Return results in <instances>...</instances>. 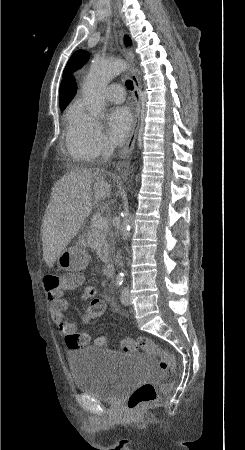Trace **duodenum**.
Segmentation results:
<instances>
[{"label": "duodenum", "instance_id": "410a0bca", "mask_svg": "<svg viewBox=\"0 0 245 450\" xmlns=\"http://www.w3.org/2000/svg\"><path fill=\"white\" fill-rule=\"evenodd\" d=\"M115 272H116V266L114 262H110L108 263L105 268H104V273L109 276L110 278H114L115 277Z\"/></svg>", "mask_w": 245, "mask_h": 450}]
</instances>
